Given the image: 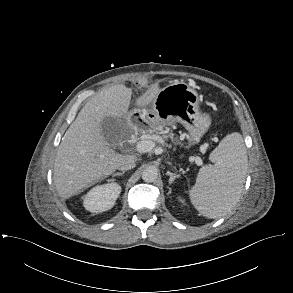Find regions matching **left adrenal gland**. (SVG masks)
Listing matches in <instances>:
<instances>
[{"mask_svg":"<svg viewBox=\"0 0 293 293\" xmlns=\"http://www.w3.org/2000/svg\"><path fill=\"white\" fill-rule=\"evenodd\" d=\"M166 175L170 176V178H169V184H172L175 179H177V178L180 177V175H177V174L172 173L170 171H167Z\"/></svg>","mask_w":293,"mask_h":293,"instance_id":"left-adrenal-gland-1","label":"left adrenal gland"}]
</instances>
